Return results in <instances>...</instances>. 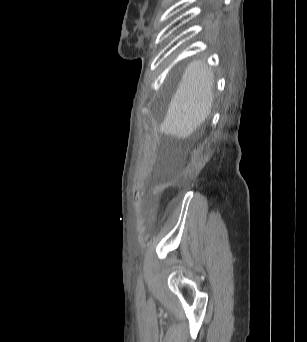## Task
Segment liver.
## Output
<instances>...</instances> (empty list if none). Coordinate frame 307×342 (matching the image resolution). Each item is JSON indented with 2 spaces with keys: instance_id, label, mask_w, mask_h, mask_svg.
<instances>
[{
  "instance_id": "6515ba94",
  "label": "liver",
  "mask_w": 307,
  "mask_h": 342,
  "mask_svg": "<svg viewBox=\"0 0 307 342\" xmlns=\"http://www.w3.org/2000/svg\"><path fill=\"white\" fill-rule=\"evenodd\" d=\"M213 84L211 68H207L201 60L190 62L160 124L161 132L183 140L189 138L211 112Z\"/></svg>"
}]
</instances>
